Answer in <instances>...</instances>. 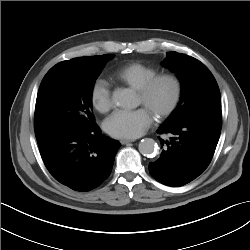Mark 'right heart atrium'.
Instances as JSON below:
<instances>
[{
	"label": "right heart atrium",
	"instance_id": "1",
	"mask_svg": "<svg viewBox=\"0 0 250 250\" xmlns=\"http://www.w3.org/2000/svg\"><path fill=\"white\" fill-rule=\"evenodd\" d=\"M89 96L92 106L101 113L109 111L113 106L110 84L104 78L93 81Z\"/></svg>",
	"mask_w": 250,
	"mask_h": 250
}]
</instances>
